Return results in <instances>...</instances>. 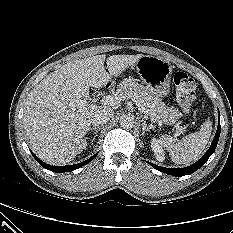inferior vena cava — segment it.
<instances>
[{
	"label": "inferior vena cava",
	"mask_w": 233,
	"mask_h": 233,
	"mask_svg": "<svg viewBox=\"0 0 233 233\" xmlns=\"http://www.w3.org/2000/svg\"><path fill=\"white\" fill-rule=\"evenodd\" d=\"M113 115H114V112L110 107L101 106L95 112L92 118V124L93 126H100V125L106 124L108 121H110Z\"/></svg>",
	"instance_id": "1"
}]
</instances>
